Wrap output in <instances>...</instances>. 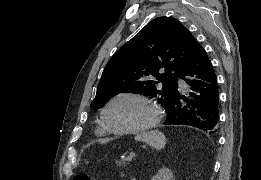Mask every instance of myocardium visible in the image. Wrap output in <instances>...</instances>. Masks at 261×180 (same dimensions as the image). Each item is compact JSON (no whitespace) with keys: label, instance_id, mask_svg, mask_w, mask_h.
I'll list each match as a JSON object with an SVG mask.
<instances>
[{"label":"myocardium","instance_id":"f54148a6","mask_svg":"<svg viewBox=\"0 0 261 180\" xmlns=\"http://www.w3.org/2000/svg\"><path fill=\"white\" fill-rule=\"evenodd\" d=\"M123 98L138 99L149 106L150 113L142 128L132 131H117L110 126L107 119L108 110L115 102ZM159 117L160 111L157 102L151 96L140 91H124L116 94L107 101L101 112L103 126L111 135L118 138H138L150 134L155 129Z\"/></svg>","mask_w":261,"mask_h":180}]
</instances>
